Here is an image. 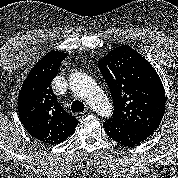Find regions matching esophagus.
I'll list each match as a JSON object with an SVG mask.
<instances>
[{
  "label": "esophagus",
  "instance_id": "1",
  "mask_svg": "<svg viewBox=\"0 0 178 178\" xmlns=\"http://www.w3.org/2000/svg\"><path fill=\"white\" fill-rule=\"evenodd\" d=\"M90 112H91V110L87 109L84 113H80V112L76 113L75 116H76L77 119H81L82 117H85L86 115L90 114Z\"/></svg>",
  "mask_w": 178,
  "mask_h": 178
}]
</instances>
